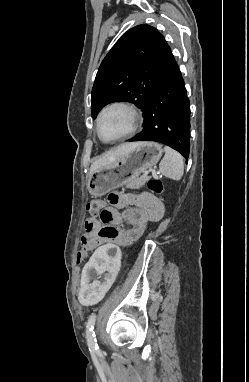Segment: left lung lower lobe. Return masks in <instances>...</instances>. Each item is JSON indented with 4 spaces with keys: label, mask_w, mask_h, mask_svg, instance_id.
I'll return each mask as SVG.
<instances>
[{
    "label": "left lung lower lobe",
    "mask_w": 249,
    "mask_h": 382,
    "mask_svg": "<svg viewBox=\"0 0 249 382\" xmlns=\"http://www.w3.org/2000/svg\"><path fill=\"white\" fill-rule=\"evenodd\" d=\"M142 132L128 141H156L189 157L190 107L184 81L174 60L144 113Z\"/></svg>",
    "instance_id": "1"
}]
</instances>
